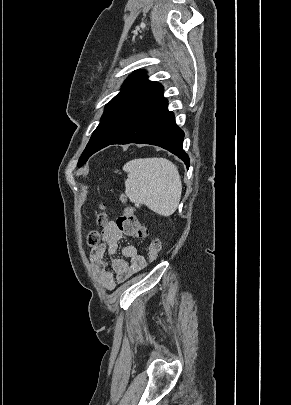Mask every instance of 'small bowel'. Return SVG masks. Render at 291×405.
Listing matches in <instances>:
<instances>
[{
  "label": "small bowel",
  "mask_w": 291,
  "mask_h": 405,
  "mask_svg": "<svg viewBox=\"0 0 291 405\" xmlns=\"http://www.w3.org/2000/svg\"><path fill=\"white\" fill-rule=\"evenodd\" d=\"M124 238L115 222H108L102 230V243L94 247L90 253L93 274L99 284L108 291L115 289L117 283H122L135 273L141 271L146 261L138 254L137 248L127 244L121 249V257L111 261V270L105 260L107 254L113 255L118 249L119 242Z\"/></svg>",
  "instance_id": "obj_1"
}]
</instances>
